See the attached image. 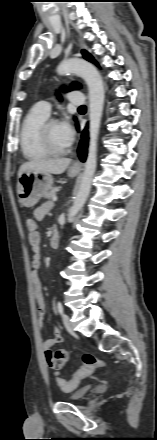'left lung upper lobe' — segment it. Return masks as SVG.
<instances>
[{
	"mask_svg": "<svg viewBox=\"0 0 157 440\" xmlns=\"http://www.w3.org/2000/svg\"><path fill=\"white\" fill-rule=\"evenodd\" d=\"M82 54H83L85 59H87L88 61H91V62L97 64V62L93 59V57L87 51L83 50ZM72 86L74 88H76V89L80 87V85L78 83H73ZM63 90L69 91L71 89L70 88H64Z\"/></svg>",
	"mask_w": 157,
	"mask_h": 440,
	"instance_id": "obj_1",
	"label": "left lung upper lobe"
}]
</instances>
